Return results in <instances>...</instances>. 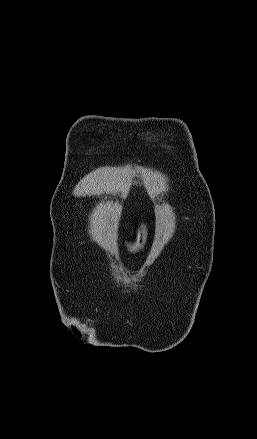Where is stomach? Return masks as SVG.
Instances as JSON below:
<instances>
[{"instance_id":"1","label":"stomach","mask_w":257,"mask_h":439,"mask_svg":"<svg viewBox=\"0 0 257 439\" xmlns=\"http://www.w3.org/2000/svg\"><path fill=\"white\" fill-rule=\"evenodd\" d=\"M147 238V228L145 224H141L138 228L137 240L135 243H127V249L131 253L138 252L145 245Z\"/></svg>"}]
</instances>
